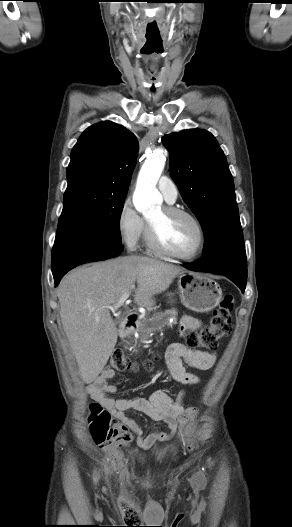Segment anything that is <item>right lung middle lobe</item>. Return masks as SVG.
I'll return each mask as SVG.
<instances>
[{
  "instance_id": "1",
  "label": "right lung middle lobe",
  "mask_w": 292,
  "mask_h": 527,
  "mask_svg": "<svg viewBox=\"0 0 292 527\" xmlns=\"http://www.w3.org/2000/svg\"><path fill=\"white\" fill-rule=\"evenodd\" d=\"M126 194L87 185L68 186L57 233H91L121 243L119 220Z\"/></svg>"
}]
</instances>
